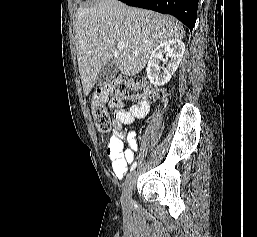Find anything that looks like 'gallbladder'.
Returning a JSON list of instances; mask_svg holds the SVG:
<instances>
[{"instance_id":"obj_1","label":"gallbladder","mask_w":257,"mask_h":237,"mask_svg":"<svg viewBox=\"0 0 257 237\" xmlns=\"http://www.w3.org/2000/svg\"><path fill=\"white\" fill-rule=\"evenodd\" d=\"M118 73V67L114 62L104 65L96 77V85L99 87L109 83Z\"/></svg>"}]
</instances>
